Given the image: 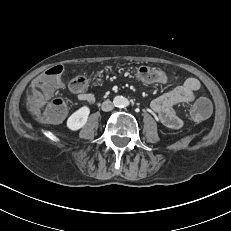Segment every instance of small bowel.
<instances>
[{
  "mask_svg": "<svg viewBox=\"0 0 231 231\" xmlns=\"http://www.w3.org/2000/svg\"><path fill=\"white\" fill-rule=\"evenodd\" d=\"M199 88L200 83L197 79L188 78L181 85L154 99L150 104L151 110L157 115L162 125L170 129H178L182 126V120L177 114L176 107L180 104H194L197 99L196 92ZM72 92L79 101L87 106L95 102V97L91 93L84 90H72Z\"/></svg>",
  "mask_w": 231,
  "mask_h": 231,
  "instance_id": "obj_1",
  "label": "small bowel"
}]
</instances>
